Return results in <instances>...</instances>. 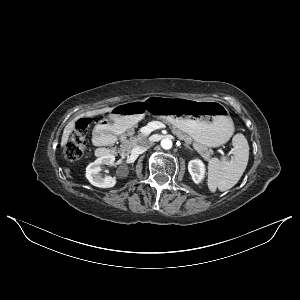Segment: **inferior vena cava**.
Returning <instances> with one entry per match:
<instances>
[{"label": "inferior vena cava", "instance_id": "602c4592", "mask_svg": "<svg viewBox=\"0 0 300 300\" xmlns=\"http://www.w3.org/2000/svg\"><path fill=\"white\" fill-rule=\"evenodd\" d=\"M152 145V142L149 139H143L139 145L135 146L132 150L135 154H141L145 152L150 146Z\"/></svg>", "mask_w": 300, "mask_h": 300}]
</instances>
